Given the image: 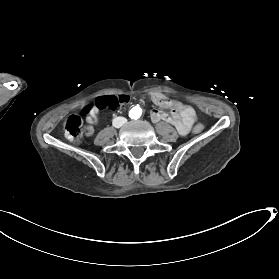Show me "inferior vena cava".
<instances>
[{
  "instance_id": "obj_1",
  "label": "inferior vena cava",
  "mask_w": 279,
  "mask_h": 279,
  "mask_svg": "<svg viewBox=\"0 0 279 279\" xmlns=\"http://www.w3.org/2000/svg\"><path fill=\"white\" fill-rule=\"evenodd\" d=\"M125 123H127V119L123 117H116L113 119V126L116 128H120Z\"/></svg>"
}]
</instances>
